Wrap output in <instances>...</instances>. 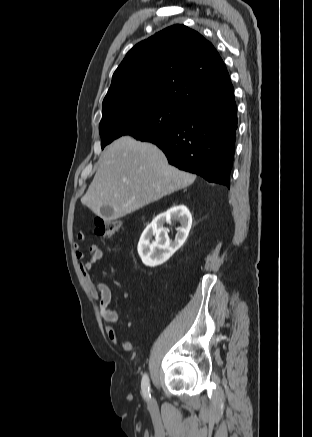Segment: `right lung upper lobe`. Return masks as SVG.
<instances>
[{
  "label": "right lung upper lobe",
  "mask_w": 312,
  "mask_h": 437,
  "mask_svg": "<svg viewBox=\"0 0 312 437\" xmlns=\"http://www.w3.org/2000/svg\"><path fill=\"white\" fill-rule=\"evenodd\" d=\"M230 78L214 46L173 25L135 45L113 74L103 115L131 103L161 102L190 109L226 89Z\"/></svg>",
  "instance_id": "cb5924a9"
}]
</instances>
